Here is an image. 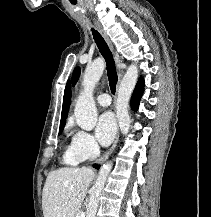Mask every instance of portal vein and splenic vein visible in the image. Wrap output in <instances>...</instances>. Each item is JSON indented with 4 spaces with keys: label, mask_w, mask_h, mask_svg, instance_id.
<instances>
[{
    "label": "portal vein and splenic vein",
    "mask_w": 211,
    "mask_h": 217,
    "mask_svg": "<svg viewBox=\"0 0 211 217\" xmlns=\"http://www.w3.org/2000/svg\"><path fill=\"white\" fill-rule=\"evenodd\" d=\"M79 217H84V213H82Z\"/></svg>",
    "instance_id": "1"
}]
</instances>
